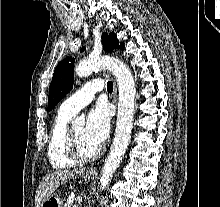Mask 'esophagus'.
I'll use <instances>...</instances> for the list:
<instances>
[{
	"mask_svg": "<svg viewBox=\"0 0 220 207\" xmlns=\"http://www.w3.org/2000/svg\"><path fill=\"white\" fill-rule=\"evenodd\" d=\"M116 97H117V88H116V86H114L113 100H114L115 103H116ZM88 174H90V175H95V174H96V168H91V169L88 171Z\"/></svg>",
	"mask_w": 220,
	"mask_h": 207,
	"instance_id": "34e87169",
	"label": "esophagus"
}]
</instances>
